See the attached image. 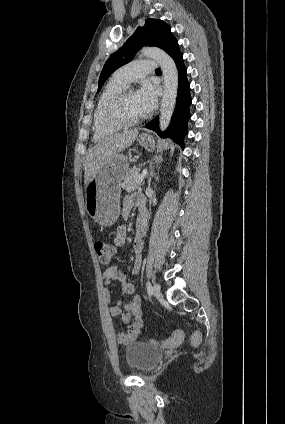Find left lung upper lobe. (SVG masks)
Wrapping results in <instances>:
<instances>
[{
  "label": "left lung upper lobe",
  "instance_id": "1",
  "mask_svg": "<svg viewBox=\"0 0 285 424\" xmlns=\"http://www.w3.org/2000/svg\"><path fill=\"white\" fill-rule=\"evenodd\" d=\"M175 41L168 24L157 19H147L145 25L138 27L125 44L106 61L100 74L97 92L116 69L134 58L142 46H156L167 52Z\"/></svg>",
  "mask_w": 285,
  "mask_h": 424
}]
</instances>
